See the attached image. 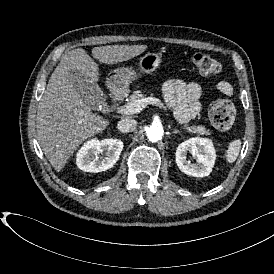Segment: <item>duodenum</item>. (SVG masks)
I'll return each instance as SVG.
<instances>
[{
    "instance_id": "duodenum-1",
    "label": "duodenum",
    "mask_w": 274,
    "mask_h": 274,
    "mask_svg": "<svg viewBox=\"0 0 274 274\" xmlns=\"http://www.w3.org/2000/svg\"><path fill=\"white\" fill-rule=\"evenodd\" d=\"M121 100H122V96L120 94H118V93L112 94V96H111L112 103L117 104Z\"/></svg>"
}]
</instances>
